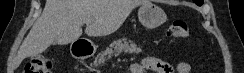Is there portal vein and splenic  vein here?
Returning <instances> with one entry per match:
<instances>
[{"mask_svg":"<svg viewBox=\"0 0 244 73\" xmlns=\"http://www.w3.org/2000/svg\"><path fill=\"white\" fill-rule=\"evenodd\" d=\"M92 22H93V19H87V20L85 21V24L89 25V24H91Z\"/></svg>","mask_w":244,"mask_h":73,"instance_id":"portal-vein-and-splenic-vein-1","label":"portal vein and splenic vein"}]
</instances>
